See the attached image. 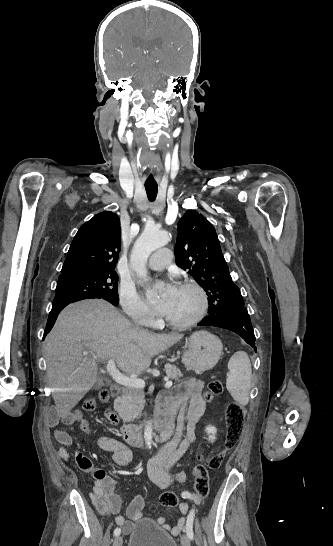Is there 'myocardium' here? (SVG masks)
<instances>
[{
	"mask_svg": "<svg viewBox=\"0 0 333 546\" xmlns=\"http://www.w3.org/2000/svg\"><path fill=\"white\" fill-rule=\"evenodd\" d=\"M179 287L190 288L194 290L199 297V307L197 309V312L189 320H186L183 322H177L169 318L165 319L167 325H169L170 327L174 329L183 330V329H188L190 327L195 326L204 318V316L206 315L208 311L209 299L205 289L195 280L186 279L179 284Z\"/></svg>",
	"mask_w": 333,
	"mask_h": 546,
	"instance_id": "1",
	"label": "myocardium"
}]
</instances>
